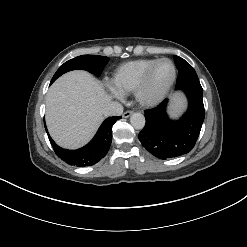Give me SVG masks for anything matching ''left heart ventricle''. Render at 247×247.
Here are the masks:
<instances>
[{
  "label": "left heart ventricle",
  "instance_id": "left-heart-ventricle-1",
  "mask_svg": "<svg viewBox=\"0 0 247 247\" xmlns=\"http://www.w3.org/2000/svg\"><path fill=\"white\" fill-rule=\"evenodd\" d=\"M173 69L168 61L159 62L152 70L147 86L148 96L158 95L168 85L171 80Z\"/></svg>",
  "mask_w": 247,
  "mask_h": 247
}]
</instances>
